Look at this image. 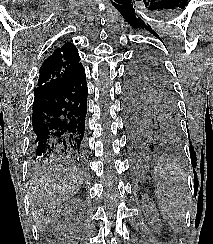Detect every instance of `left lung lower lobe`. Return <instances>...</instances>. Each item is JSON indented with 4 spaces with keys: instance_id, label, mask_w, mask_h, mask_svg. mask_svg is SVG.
I'll return each instance as SVG.
<instances>
[{
    "instance_id": "obj_1",
    "label": "left lung lower lobe",
    "mask_w": 213,
    "mask_h": 244,
    "mask_svg": "<svg viewBox=\"0 0 213 244\" xmlns=\"http://www.w3.org/2000/svg\"><path fill=\"white\" fill-rule=\"evenodd\" d=\"M124 118L128 135V146L133 156H150L161 147L160 144L163 139L139 114L124 108Z\"/></svg>"
}]
</instances>
